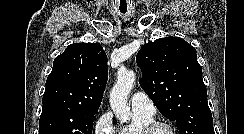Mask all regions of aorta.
Instances as JSON below:
<instances>
[{
  "label": "aorta",
  "mask_w": 244,
  "mask_h": 134,
  "mask_svg": "<svg viewBox=\"0 0 244 134\" xmlns=\"http://www.w3.org/2000/svg\"><path fill=\"white\" fill-rule=\"evenodd\" d=\"M135 73L132 70L120 69L117 82L110 92V106L116 118L125 123L131 118L130 107L127 104L129 93L135 83Z\"/></svg>",
  "instance_id": "aorta-1"
}]
</instances>
